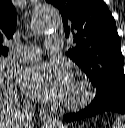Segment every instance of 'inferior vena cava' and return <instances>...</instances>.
Segmentation results:
<instances>
[{
    "label": "inferior vena cava",
    "mask_w": 125,
    "mask_h": 128,
    "mask_svg": "<svg viewBox=\"0 0 125 128\" xmlns=\"http://www.w3.org/2000/svg\"><path fill=\"white\" fill-rule=\"evenodd\" d=\"M33 110H34V107L29 105V104H26L23 107V113H21L19 115V125H20L19 127L20 128H27L28 127V123H29V121L33 115Z\"/></svg>",
    "instance_id": "602c4592"
}]
</instances>
